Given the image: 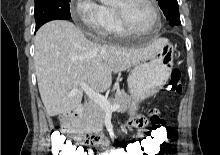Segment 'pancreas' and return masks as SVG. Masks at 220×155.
<instances>
[{
	"label": "pancreas",
	"instance_id": "cf45deb5",
	"mask_svg": "<svg viewBox=\"0 0 220 155\" xmlns=\"http://www.w3.org/2000/svg\"><path fill=\"white\" fill-rule=\"evenodd\" d=\"M110 102L119 105V110L125 112L131 105V98L123 91H118ZM105 115L106 111L100 105L89 102L81 119L82 127L90 132H100L104 125Z\"/></svg>",
	"mask_w": 220,
	"mask_h": 155
}]
</instances>
